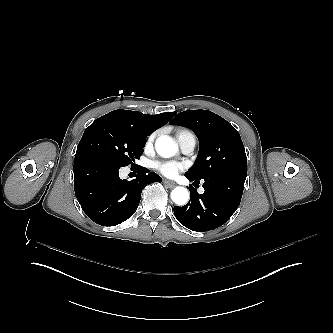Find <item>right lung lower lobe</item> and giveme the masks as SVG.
<instances>
[{"label":"right lung lower lobe","instance_id":"98d812e1","mask_svg":"<svg viewBox=\"0 0 333 333\" xmlns=\"http://www.w3.org/2000/svg\"><path fill=\"white\" fill-rule=\"evenodd\" d=\"M119 168L92 152H76L74 159L75 195L86 215L102 226H115L136 211L145 185L162 178L136 165V179L119 178ZM136 176V175H135Z\"/></svg>","mask_w":333,"mask_h":333}]
</instances>
